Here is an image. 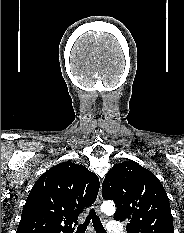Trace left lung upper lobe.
I'll list each match as a JSON object with an SVG mask.
<instances>
[{
	"instance_id": "1",
	"label": "left lung upper lobe",
	"mask_w": 184,
	"mask_h": 233,
	"mask_svg": "<svg viewBox=\"0 0 184 233\" xmlns=\"http://www.w3.org/2000/svg\"><path fill=\"white\" fill-rule=\"evenodd\" d=\"M102 197L117 206L114 219L128 233H174L169 198L159 179L134 161L115 164L102 184Z\"/></svg>"
}]
</instances>
